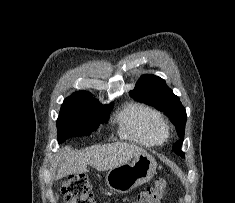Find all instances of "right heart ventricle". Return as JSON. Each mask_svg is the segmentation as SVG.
Listing matches in <instances>:
<instances>
[{"label": "right heart ventricle", "mask_w": 235, "mask_h": 203, "mask_svg": "<svg viewBox=\"0 0 235 203\" xmlns=\"http://www.w3.org/2000/svg\"><path fill=\"white\" fill-rule=\"evenodd\" d=\"M123 137L146 146L162 145L168 138L165 121L157 110L142 104H128L119 114Z\"/></svg>", "instance_id": "e07e8e85"}]
</instances>
